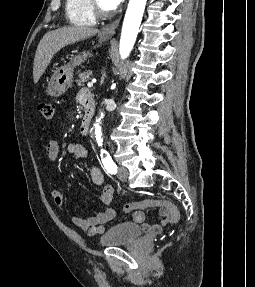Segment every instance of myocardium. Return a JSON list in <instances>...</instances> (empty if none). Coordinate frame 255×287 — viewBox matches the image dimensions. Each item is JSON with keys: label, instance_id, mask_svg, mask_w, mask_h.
Segmentation results:
<instances>
[{"label": "myocardium", "instance_id": "myocardium-1", "mask_svg": "<svg viewBox=\"0 0 255 287\" xmlns=\"http://www.w3.org/2000/svg\"><path fill=\"white\" fill-rule=\"evenodd\" d=\"M98 33H111V32H98ZM106 39H117V38H106ZM121 39H123V38H121ZM107 48H110V47H107ZM127 48H133V47H127Z\"/></svg>", "mask_w": 255, "mask_h": 287}]
</instances>
